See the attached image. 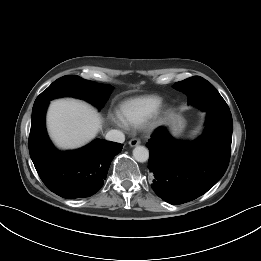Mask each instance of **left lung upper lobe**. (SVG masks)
I'll use <instances>...</instances> for the list:
<instances>
[{"label":"left lung upper lobe","instance_id":"left-lung-upper-lobe-1","mask_svg":"<svg viewBox=\"0 0 261 261\" xmlns=\"http://www.w3.org/2000/svg\"><path fill=\"white\" fill-rule=\"evenodd\" d=\"M206 84H210V83L202 77L195 76V77H191V78H188L183 81L175 83L173 88L185 93L188 96L189 104H193V105L197 106L196 102L192 99L193 94H195L197 92V90L200 89L201 85H206ZM218 95H219V99H218L219 106L227 107V104L224 101V99L221 97V95L219 93H218ZM198 107H200V106H198Z\"/></svg>","mask_w":261,"mask_h":261}]
</instances>
